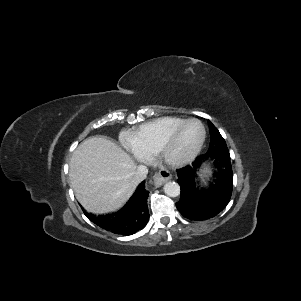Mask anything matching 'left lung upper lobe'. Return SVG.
<instances>
[{
  "instance_id": "1",
  "label": "left lung upper lobe",
  "mask_w": 301,
  "mask_h": 301,
  "mask_svg": "<svg viewBox=\"0 0 301 301\" xmlns=\"http://www.w3.org/2000/svg\"><path fill=\"white\" fill-rule=\"evenodd\" d=\"M209 129L211 142L207 154L219 153L220 151L229 152L225 140L211 122H209Z\"/></svg>"
}]
</instances>
